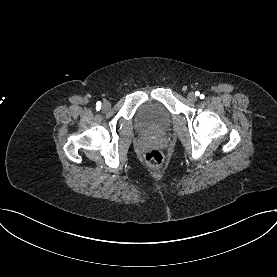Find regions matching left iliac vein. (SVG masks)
Returning a JSON list of instances; mask_svg holds the SVG:
<instances>
[{
    "mask_svg": "<svg viewBox=\"0 0 277 277\" xmlns=\"http://www.w3.org/2000/svg\"><path fill=\"white\" fill-rule=\"evenodd\" d=\"M188 99H189L191 102H195V101L197 100V97H196L195 93L190 92V93L188 94Z\"/></svg>",
    "mask_w": 277,
    "mask_h": 277,
    "instance_id": "4c4485c4",
    "label": "left iliac vein"
}]
</instances>
